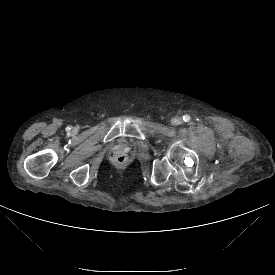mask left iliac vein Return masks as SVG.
<instances>
[{
	"label": "left iliac vein",
	"mask_w": 275,
	"mask_h": 275,
	"mask_svg": "<svg viewBox=\"0 0 275 275\" xmlns=\"http://www.w3.org/2000/svg\"><path fill=\"white\" fill-rule=\"evenodd\" d=\"M183 122L182 118L181 117H175L172 119V124L174 125H179Z\"/></svg>",
	"instance_id": "4c4485c4"
}]
</instances>
